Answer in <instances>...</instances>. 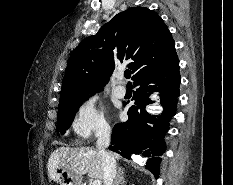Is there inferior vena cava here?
I'll return each instance as SVG.
<instances>
[{
    "mask_svg": "<svg viewBox=\"0 0 233 185\" xmlns=\"http://www.w3.org/2000/svg\"><path fill=\"white\" fill-rule=\"evenodd\" d=\"M110 139L111 128L109 126L98 131L96 147L102 158L104 185H113V179L116 177V160L111 153L106 151L110 145Z\"/></svg>",
    "mask_w": 233,
    "mask_h": 185,
    "instance_id": "1",
    "label": "inferior vena cava"
}]
</instances>
